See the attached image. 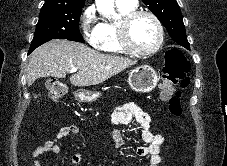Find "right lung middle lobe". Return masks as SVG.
<instances>
[{
	"mask_svg": "<svg viewBox=\"0 0 227 166\" xmlns=\"http://www.w3.org/2000/svg\"><path fill=\"white\" fill-rule=\"evenodd\" d=\"M82 9H41L29 52L51 39L84 43L79 31Z\"/></svg>",
	"mask_w": 227,
	"mask_h": 166,
	"instance_id": "right-lung-middle-lobe-1",
	"label": "right lung middle lobe"
}]
</instances>
